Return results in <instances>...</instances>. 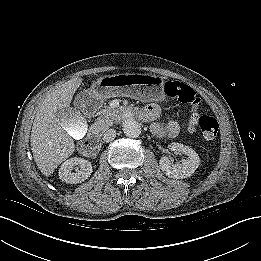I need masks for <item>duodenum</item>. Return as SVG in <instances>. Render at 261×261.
I'll list each match as a JSON object with an SVG mask.
<instances>
[{
    "mask_svg": "<svg viewBox=\"0 0 261 261\" xmlns=\"http://www.w3.org/2000/svg\"><path fill=\"white\" fill-rule=\"evenodd\" d=\"M127 113L130 116H137V111L134 109L127 110ZM101 146L100 137L97 133V129H94L90 135V137L79 144L78 149L79 152L84 156H90L98 151Z\"/></svg>",
    "mask_w": 261,
    "mask_h": 261,
    "instance_id": "obj_1",
    "label": "duodenum"
}]
</instances>
